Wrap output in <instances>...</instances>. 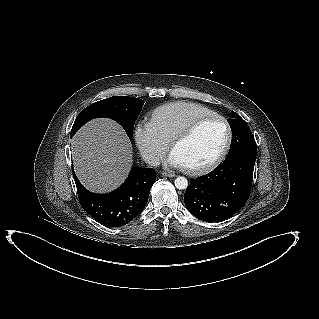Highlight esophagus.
<instances>
[{
  "instance_id": "1",
  "label": "esophagus",
  "mask_w": 319,
  "mask_h": 319,
  "mask_svg": "<svg viewBox=\"0 0 319 319\" xmlns=\"http://www.w3.org/2000/svg\"><path fill=\"white\" fill-rule=\"evenodd\" d=\"M162 175H163L164 177H170V178L176 176L174 173H170V172H163Z\"/></svg>"
}]
</instances>
